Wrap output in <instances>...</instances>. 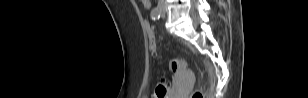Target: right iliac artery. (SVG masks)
<instances>
[{
    "instance_id": "82829eb1",
    "label": "right iliac artery",
    "mask_w": 308,
    "mask_h": 98,
    "mask_svg": "<svg viewBox=\"0 0 308 98\" xmlns=\"http://www.w3.org/2000/svg\"><path fill=\"white\" fill-rule=\"evenodd\" d=\"M160 9L158 7H155L152 11H151V18L153 20H157L160 18Z\"/></svg>"
}]
</instances>
